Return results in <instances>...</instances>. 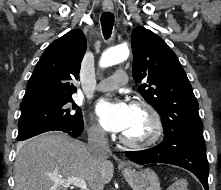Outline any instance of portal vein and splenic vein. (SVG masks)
Returning <instances> with one entry per match:
<instances>
[{
  "label": "portal vein and splenic vein",
  "mask_w": 221,
  "mask_h": 190,
  "mask_svg": "<svg viewBox=\"0 0 221 190\" xmlns=\"http://www.w3.org/2000/svg\"><path fill=\"white\" fill-rule=\"evenodd\" d=\"M53 181L59 184H65V185H72L81 188V190H89L87 183L84 179L72 177L67 179H59V178H53Z\"/></svg>",
  "instance_id": "portal-vein-and-splenic-vein-1"
}]
</instances>
